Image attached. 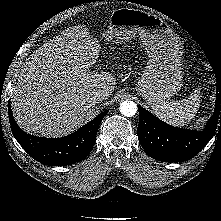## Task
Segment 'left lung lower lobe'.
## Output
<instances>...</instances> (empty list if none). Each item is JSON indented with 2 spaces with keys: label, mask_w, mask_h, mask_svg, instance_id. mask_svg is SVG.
<instances>
[{
  "label": "left lung lower lobe",
  "mask_w": 221,
  "mask_h": 221,
  "mask_svg": "<svg viewBox=\"0 0 221 221\" xmlns=\"http://www.w3.org/2000/svg\"><path fill=\"white\" fill-rule=\"evenodd\" d=\"M220 107L221 85L218 84L214 113L199 132L170 126L138 106L139 142L146 154L156 160L170 163L190 160L207 145L216 129L221 128Z\"/></svg>",
  "instance_id": "0a47b994"
}]
</instances>
